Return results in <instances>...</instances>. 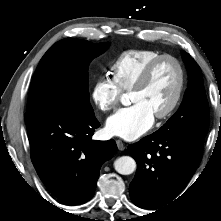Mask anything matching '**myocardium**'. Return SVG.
<instances>
[{"mask_svg":"<svg viewBox=\"0 0 221 221\" xmlns=\"http://www.w3.org/2000/svg\"><path fill=\"white\" fill-rule=\"evenodd\" d=\"M165 61H171L176 65L178 69V73H179V81H178V85H177L174 97L172 101L170 102V104L168 105V107L161 113L154 115L155 118L158 120L166 119L169 116H171L181 101L184 88H185V82H186L185 70H184L182 63L176 57L172 55H161L157 57L156 59L152 60L144 68L142 73L139 75V77L133 84L132 88L129 90L130 92H133V91H137L145 87L151 75L153 74L154 70L157 68V66Z\"/></svg>","mask_w":221,"mask_h":221,"instance_id":"obj_1","label":"myocardium"}]
</instances>
